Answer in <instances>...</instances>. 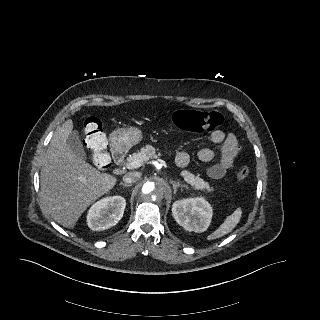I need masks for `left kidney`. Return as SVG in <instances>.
I'll list each match as a JSON object with an SVG mask.
<instances>
[{"instance_id":"obj_1","label":"left kidney","mask_w":320,"mask_h":320,"mask_svg":"<svg viewBox=\"0 0 320 320\" xmlns=\"http://www.w3.org/2000/svg\"><path fill=\"white\" fill-rule=\"evenodd\" d=\"M172 214L185 230L204 232L211 222L212 207L202 197L183 199L173 203Z\"/></svg>"}]
</instances>
